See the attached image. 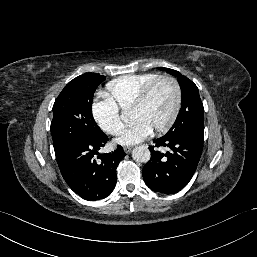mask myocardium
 Wrapping results in <instances>:
<instances>
[{
	"instance_id": "myocardium-1",
	"label": "myocardium",
	"mask_w": 257,
	"mask_h": 257,
	"mask_svg": "<svg viewBox=\"0 0 257 257\" xmlns=\"http://www.w3.org/2000/svg\"><path fill=\"white\" fill-rule=\"evenodd\" d=\"M170 82L173 87H174V91H175V103H174V107L172 110V113L169 117V119L167 120V122L165 124H163L162 126L156 128L154 131L156 133H164L166 131H168L173 124L175 123L180 109H181V105H182V89L181 86L179 84V82L177 81L176 78L172 77V76H160L158 77L156 80H154L153 82H151L138 96L137 100L135 101V103L131 106L130 110H137L140 109L141 107H143L147 101L149 100L150 96L152 95V93L154 92V90L162 83V82Z\"/></svg>"
}]
</instances>
